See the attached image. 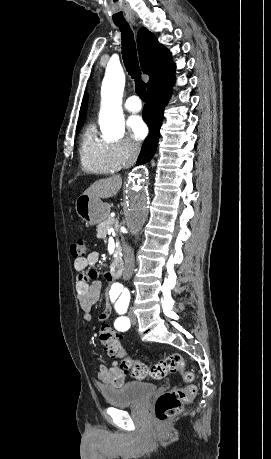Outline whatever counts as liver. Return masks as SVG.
<instances>
[{"label":"liver","mask_w":271,"mask_h":459,"mask_svg":"<svg viewBox=\"0 0 271 459\" xmlns=\"http://www.w3.org/2000/svg\"><path fill=\"white\" fill-rule=\"evenodd\" d=\"M122 186L121 176H111V178H104V180H97L88 190H85L83 196H90V198H112L118 194Z\"/></svg>","instance_id":"obj_1"}]
</instances>
